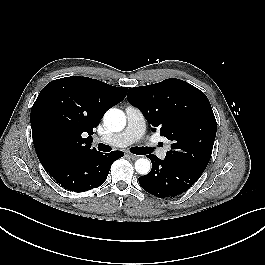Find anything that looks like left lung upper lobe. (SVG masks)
Here are the masks:
<instances>
[{
    "instance_id": "1",
    "label": "left lung upper lobe",
    "mask_w": 265,
    "mask_h": 265,
    "mask_svg": "<svg viewBox=\"0 0 265 265\" xmlns=\"http://www.w3.org/2000/svg\"><path fill=\"white\" fill-rule=\"evenodd\" d=\"M128 101L143 113L152 131L172 141L165 161L198 175L213 149L217 124L206 95L180 79L129 88Z\"/></svg>"
}]
</instances>
